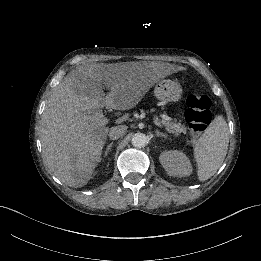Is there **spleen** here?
I'll list each match as a JSON object with an SVG mask.
<instances>
[{
  "label": "spleen",
  "mask_w": 261,
  "mask_h": 261,
  "mask_svg": "<svg viewBox=\"0 0 261 261\" xmlns=\"http://www.w3.org/2000/svg\"><path fill=\"white\" fill-rule=\"evenodd\" d=\"M229 130L222 115L216 116L194 147L200 181L211 178L223 163L228 150Z\"/></svg>",
  "instance_id": "1"
}]
</instances>
